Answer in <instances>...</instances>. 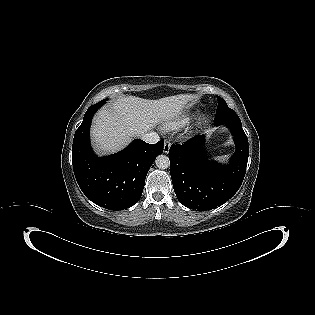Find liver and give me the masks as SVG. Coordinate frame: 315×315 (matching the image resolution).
Wrapping results in <instances>:
<instances>
[{
	"mask_svg": "<svg viewBox=\"0 0 315 315\" xmlns=\"http://www.w3.org/2000/svg\"><path fill=\"white\" fill-rule=\"evenodd\" d=\"M192 99L188 94L156 100L135 96L118 98L94 119L91 136L97 150L113 153L122 149L133 137H141L159 123L179 117Z\"/></svg>",
	"mask_w": 315,
	"mask_h": 315,
	"instance_id": "1",
	"label": "liver"
}]
</instances>
